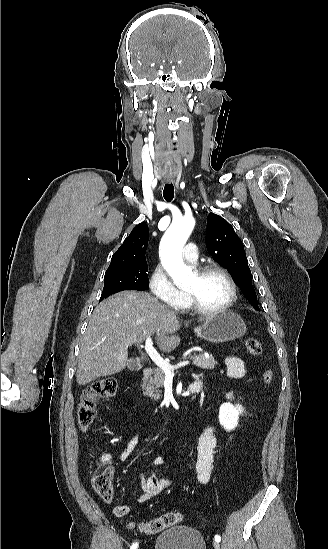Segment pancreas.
Returning <instances> with one entry per match:
<instances>
[{"instance_id":"cf45deb5","label":"pancreas","mask_w":328,"mask_h":549,"mask_svg":"<svg viewBox=\"0 0 328 549\" xmlns=\"http://www.w3.org/2000/svg\"><path fill=\"white\" fill-rule=\"evenodd\" d=\"M189 359H192L193 365L201 367V369H214V365H217L214 357H205V355H188ZM165 381V373L162 369H154L152 377L143 379L142 389L145 391V395H149L154 401L161 399V391L159 387H163Z\"/></svg>"}]
</instances>
